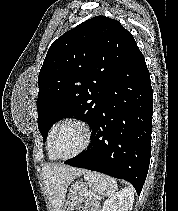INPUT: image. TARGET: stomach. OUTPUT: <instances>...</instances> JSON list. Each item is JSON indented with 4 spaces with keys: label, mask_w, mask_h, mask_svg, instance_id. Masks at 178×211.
<instances>
[{
    "label": "stomach",
    "mask_w": 178,
    "mask_h": 211,
    "mask_svg": "<svg viewBox=\"0 0 178 211\" xmlns=\"http://www.w3.org/2000/svg\"><path fill=\"white\" fill-rule=\"evenodd\" d=\"M87 192L88 186L86 183H74L69 189L67 202L63 211H74L77 206L81 205Z\"/></svg>",
    "instance_id": "stomach-1"
}]
</instances>
